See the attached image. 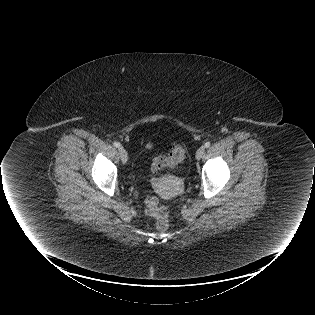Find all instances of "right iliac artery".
Returning a JSON list of instances; mask_svg holds the SVG:
<instances>
[{
	"label": "right iliac artery",
	"instance_id": "1",
	"mask_svg": "<svg viewBox=\"0 0 315 315\" xmlns=\"http://www.w3.org/2000/svg\"><path fill=\"white\" fill-rule=\"evenodd\" d=\"M113 145L117 148H121V144L119 142H114Z\"/></svg>",
	"mask_w": 315,
	"mask_h": 315
}]
</instances>
